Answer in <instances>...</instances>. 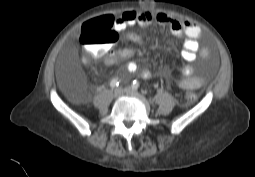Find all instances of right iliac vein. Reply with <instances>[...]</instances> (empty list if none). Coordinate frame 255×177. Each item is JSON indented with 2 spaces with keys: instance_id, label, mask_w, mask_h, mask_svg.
Returning a JSON list of instances; mask_svg holds the SVG:
<instances>
[{
  "instance_id": "right-iliac-vein-1",
  "label": "right iliac vein",
  "mask_w": 255,
  "mask_h": 177,
  "mask_svg": "<svg viewBox=\"0 0 255 177\" xmlns=\"http://www.w3.org/2000/svg\"><path fill=\"white\" fill-rule=\"evenodd\" d=\"M123 93H124V90L122 88H117L114 90L113 96L115 98H119L123 95Z\"/></svg>"
}]
</instances>
